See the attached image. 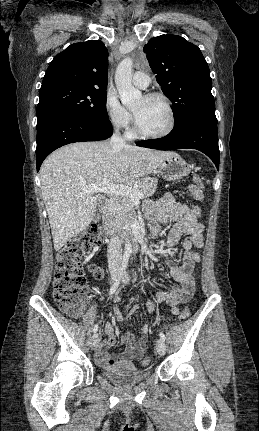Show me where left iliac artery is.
<instances>
[{
  "instance_id": "obj_1",
  "label": "left iliac artery",
  "mask_w": 259,
  "mask_h": 431,
  "mask_svg": "<svg viewBox=\"0 0 259 431\" xmlns=\"http://www.w3.org/2000/svg\"><path fill=\"white\" fill-rule=\"evenodd\" d=\"M159 335H160V338H161L163 341H165L166 337H165V335H164V333H163L162 331L159 333Z\"/></svg>"
}]
</instances>
